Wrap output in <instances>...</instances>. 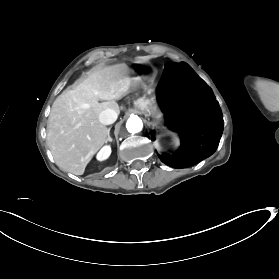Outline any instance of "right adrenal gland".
Returning a JSON list of instances; mask_svg holds the SVG:
<instances>
[{
    "label": "right adrenal gland",
    "instance_id": "right-adrenal-gland-1",
    "mask_svg": "<svg viewBox=\"0 0 279 279\" xmlns=\"http://www.w3.org/2000/svg\"><path fill=\"white\" fill-rule=\"evenodd\" d=\"M110 129H111V128H108V133H107V135H108V140L112 142L113 139L110 137Z\"/></svg>",
    "mask_w": 279,
    "mask_h": 279
}]
</instances>
